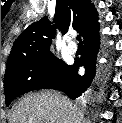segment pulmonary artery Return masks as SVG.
<instances>
[{
    "mask_svg": "<svg viewBox=\"0 0 122 123\" xmlns=\"http://www.w3.org/2000/svg\"><path fill=\"white\" fill-rule=\"evenodd\" d=\"M77 46L76 44L73 42V41H70L67 45V51L70 53V54H75L77 52Z\"/></svg>",
    "mask_w": 122,
    "mask_h": 123,
    "instance_id": "obj_1",
    "label": "pulmonary artery"
}]
</instances>
